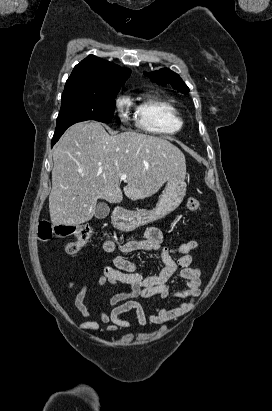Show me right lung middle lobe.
I'll use <instances>...</instances> for the list:
<instances>
[{"label":"right lung middle lobe","mask_w":272,"mask_h":411,"mask_svg":"<svg viewBox=\"0 0 272 411\" xmlns=\"http://www.w3.org/2000/svg\"><path fill=\"white\" fill-rule=\"evenodd\" d=\"M122 85H109L88 91L63 92L54 137L61 136L74 123L95 120L110 123L115 95Z\"/></svg>","instance_id":"right-lung-middle-lobe-1"}]
</instances>
